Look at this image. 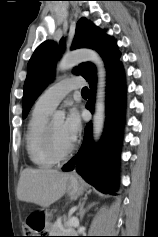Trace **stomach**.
Returning a JSON list of instances; mask_svg holds the SVG:
<instances>
[{"label":"stomach","mask_w":158,"mask_h":237,"mask_svg":"<svg viewBox=\"0 0 158 237\" xmlns=\"http://www.w3.org/2000/svg\"><path fill=\"white\" fill-rule=\"evenodd\" d=\"M84 190V186L76 178L71 177L69 179L67 185V195L69 196L70 200H76L83 194Z\"/></svg>","instance_id":"0dacf381"}]
</instances>
